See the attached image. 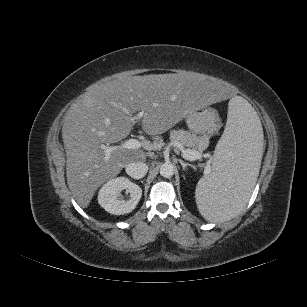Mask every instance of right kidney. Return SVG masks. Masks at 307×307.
<instances>
[{
  "label": "right kidney",
  "mask_w": 307,
  "mask_h": 307,
  "mask_svg": "<svg viewBox=\"0 0 307 307\" xmlns=\"http://www.w3.org/2000/svg\"><path fill=\"white\" fill-rule=\"evenodd\" d=\"M130 194L128 200L121 197V191ZM142 196V189L125 177H118L105 183L98 194V203L108 213L123 215L134 210Z\"/></svg>",
  "instance_id": "ca27d5eb"
}]
</instances>
